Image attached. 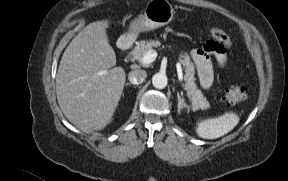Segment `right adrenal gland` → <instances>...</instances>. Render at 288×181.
Wrapping results in <instances>:
<instances>
[{
  "instance_id": "1",
  "label": "right adrenal gland",
  "mask_w": 288,
  "mask_h": 181,
  "mask_svg": "<svg viewBox=\"0 0 288 181\" xmlns=\"http://www.w3.org/2000/svg\"><path fill=\"white\" fill-rule=\"evenodd\" d=\"M126 85H127V86H128V85H129V86H131V84H130V83H126Z\"/></svg>"
}]
</instances>
